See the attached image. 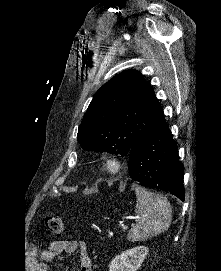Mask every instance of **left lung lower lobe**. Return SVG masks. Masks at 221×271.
<instances>
[{
  "instance_id": "0a47b994",
  "label": "left lung lower lobe",
  "mask_w": 221,
  "mask_h": 271,
  "mask_svg": "<svg viewBox=\"0 0 221 271\" xmlns=\"http://www.w3.org/2000/svg\"><path fill=\"white\" fill-rule=\"evenodd\" d=\"M129 175L145 187L185 200L184 166L166 120L148 131L129 151Z\"/></svg>"
}]
</instances>
